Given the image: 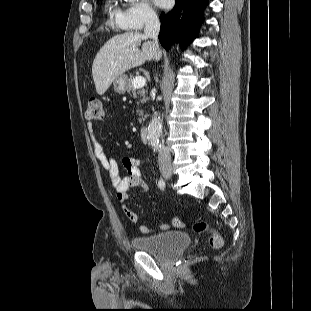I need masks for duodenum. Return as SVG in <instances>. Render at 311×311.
<instances>
[{"mask_svg": "<svg viewBox=\"0 0 311 311\" xmlns=\"http://www.w3.org/2000/svg\"><path fill=\"white\" fill-rule=\"evenodd\" d=\"M148 134H149V129L147 126H143L140 128V138L142 142L144 143L148 142Z\"/></svg>", "mask_w": 311, "mask_h": 311, "instance_id": "1", "label": "duodenum"}]
</instances>
